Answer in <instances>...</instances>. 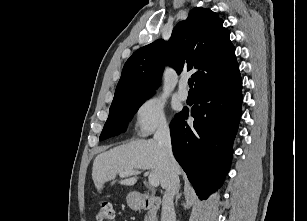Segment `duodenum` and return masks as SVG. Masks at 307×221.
Returning a JSON list of instances; mask_svg holds the SVG:
<instances>
[{"label":"duodenum","instance_id":"410a0bca","mask_svg":"<svg viewBox=\"0 0 307 221\" xmlns=\"http://www.w3.org/2000/svg\"><path fill=\"white\" fill-rule=\"evenodd\" d=\"M134 207L138 210H150L155 213L161 206V200L151 196L135 194L133 196Z\"/></svg>","mask_w":307,"mask_h":221}]
</instances>
